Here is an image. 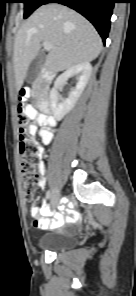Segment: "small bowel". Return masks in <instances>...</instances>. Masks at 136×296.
Here are the masks:
<instances>
[{
	"instance_id": "obj_1",
	"label": "small bowel",
	"mask_w": 136,
	"mask_h": 296,
	"mask_svg": "<svg viewBox=\"0 0 136 296\" xmlns=\"http://www.w3.org/2000/svg\"><path fill=\"white\" fill-rule=\"evenodd\" d=\"M28 116L35 118L38 122L43 124L44 126L41 127L38 130V136L41 139V144L39 145L38 149V157L41 158L44 154V147L43 144H48L52 140V134H53V126H48L45 123V116L39 114L35 110L31 109L28 111ZM33 134H36V129L33 130ZM37 170L39 173V181H38V187L39 188H44L45 186V178H44V173H45V166L43 162H39L37 165ZM46 204H42L40 207H34L31 210V215L33 217V224L37 228H47L48 226L52 229L58 230L59 232H62V226L64 223H74L78 215L74 211H69L67 213H56L54 216V219L51 223L43 216H46V209H47ZM49 209V208H48ZM50 211V210H49Z\"/></svg>"
}]
</instances>
